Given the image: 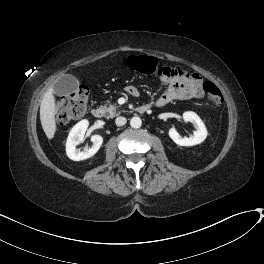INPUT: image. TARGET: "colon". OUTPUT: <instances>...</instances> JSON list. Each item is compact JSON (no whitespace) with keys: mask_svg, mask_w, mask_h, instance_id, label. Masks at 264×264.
Wrapping results in <instances>:
<instances>
[{"mask_svg":"<svg viewBox=\"0 0 264 264\" xmlns=\"http://www.w3.org/2000/svg\"><path fill=\"white\" fill-rule=\"evenodd\" d=\"M127 66L147 75H155L159 78L169 76L172 69L160 65L156 59L148 56H131L127 60ZM203 91L207 101L215 107L223 103V96L216 84L211 81L203 83ZM89 98V89L85 85H80L73 93L65 98L57 109V116L61 123H66L71 119L81 118L86 110V104Z\"/></svg>","mask_w":264,"mask_h":264,"instance_id":"colon-1","label":"colon"}]
</instances>
